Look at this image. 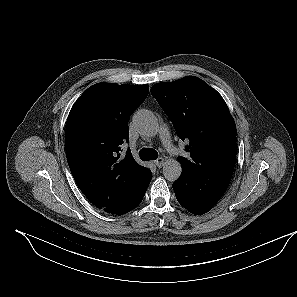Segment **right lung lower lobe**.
<instances>
[{
	"mask_svg": "<svg viewBox=\"0 0 297 297\" xmlns=\"http://www.w3.org/2000/svg\"><path fill=\"white\" fill-rule=\"evenodd\" d=\"M150 181H151V179L141 188V190L136 194V196L131 200V202L124 209L119 211L117 214H119V215L125 214V213L133 210L134 208H136L142 201Z\"/></svg>",
	"mask_w": 297,
	"mask_h": 297,
	"instance_id": "98d812e1",
	"label": "right lung lower lobe"
}]
</instances>
